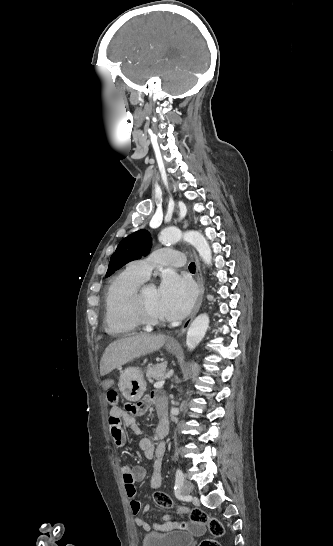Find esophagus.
I'll use <instances>...</instances> for the list:
<instances>
[{"mask_svg":"<svg viewBox=\"0 0 333 546\" xmlns=\"http://www.w3.org/2000/svg\"><path fill=\"white\" fill-rule=\"evenodd\" d=\"M194 256H195V262H196V280H197V284H198V288H199V295H198V299L196 301L195 307H194L191 315L184 322L183 326L180 329L181 334L186 332V330L188 329L189 325L191 324L193 318L195 317V315L199 311L202 300H203V296H204V281H203V276H202V272H201V265H200L199 258H198L197 254L195 252H194ZM170 342L172 344H177V341L175 339H171Z\"/></svg>","mask_w":333,"mask_h":546,"instance_id":"esophagus-1","label":"esophagus"}]
</instances>
